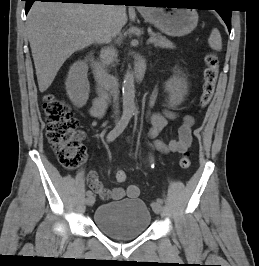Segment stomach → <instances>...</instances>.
<instances>
[{"label":"stomach","instance_id":"0dacf381","mask_svg":"<svg viewBox=\"0 0 259 266\" xmlns=\"http://www.w3.org/2000/svg\"><path fill=\"white\" fill-rule=\"evenodd\" d=\"M170 5L182 7L183 3L173 2ZM141 14L146 21L169 36L187 35L196 28L198 23V13L188 8L154 7L141 11Z\"/></svg>","mask_w":259,"mask_h":266}]
</instances>
